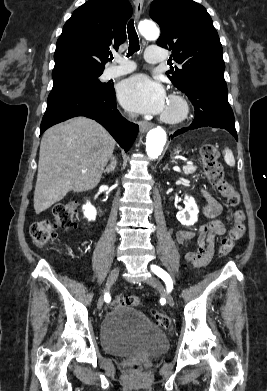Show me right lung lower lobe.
Returning a JSON list of instances; mask_svg holds the SVG:
<instances>
[{
    "label": "right lung lower lobe",
    "mask_w": 267,
    "mask_h": 391,
    "mask_svg": "<svg viewBox=\"0 0 267 391\" xmlns=\"http://www.w3.org/2000/svg\"><path fill=\"white\" fill-rule=\"evenodd\" d=\"M75 116H86L100 123L126 152L138 133V125L128 122L116 109L111 84L106 89L69 87L51 91L40 126L41 134L52 125Z\"/></svg>",
    "instance_id": "obj_1"
}]
</instances>
